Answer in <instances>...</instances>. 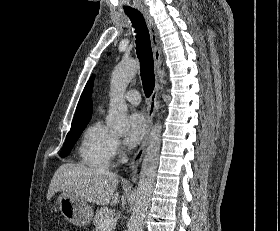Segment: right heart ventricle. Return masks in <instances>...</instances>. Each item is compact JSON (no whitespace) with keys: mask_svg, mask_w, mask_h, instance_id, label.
I'll return each mask as SVG.
<instances>
[{"mask_svg":"<svg viewBox=\"0 0 280 231\" xmlns=\"http://www.w3.org/2000/svg\"><path fill=\"white\" fill-rule=\"evenodd\" d=\"M111 132L96 120L84 130L78 144V156L82 165L105 169L109 166L111 153Z\"/></svg>","mask_w":280,"mask_h":231,"instance_id":"1","label":"right heart ventricle"}]
</instances>
